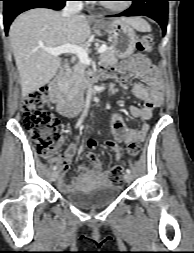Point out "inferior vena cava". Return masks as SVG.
Masks as SVG:
<instances>
[{
    "instance_id": "602c4592",
    "label": "inferior vena cava",
    "mask_w": 194,
    "mask_h": 253,
    "mask_svg": "<svg viewBox=\"0 0 194 253\" xmlns=\"http://www.w3.org/2000/svg\"><path fill=\"white\" fill-rule=\"evenodd\" d=\"M82 7V1H67L63 9L62 15L67 18H72L82 10Z\"/></svg>"
}]
</instances>
